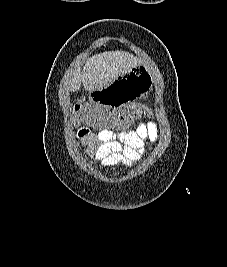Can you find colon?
Returning a JSON list of instances; mask_svg holds the SVG:
<instances>
[{
	"label": "colon",
	"instance_id": "colon-1",
	"mask_svg": "<svg viewBox=\"0 0 227 267\" xmlns=\"http://www.w3.org/2000/svg\"><path fill=\"white\" fill-rule=\"evenodd\" d=\"M141 97V96H140ZM102 104L78 103L74 106L73 114L77 121L87 120L95 130H125V125H133V120L140 116H148L145 106L129 105L126 110H101ZM152 114V111H149ZM113 119V120H108Z\"/></svg>",
	"mask_w": 227,
	"mask_h": 267
}]
</instances>
